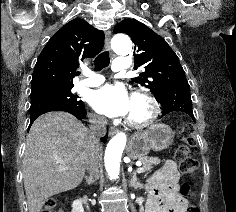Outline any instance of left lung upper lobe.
Segmentation results:
<instances>
[{"label": "left lung upper lobe", "instance_id": "obj_1", "mask_svg": "<svg viewBox=\"0 0 236 212\" xmlns=\"http://www.w3.org/2000/svg\"><path fill=\"white\" fill-rule=\"evenodd\" d=\"M114 33H125L134 42V68L144 67L140 77L131 80L152 90L159 99L172 85L185 81V72L176 53L149 27L134 19H125L114 27Z\"/></svg>", "mask_w": 236, "mask_h": 212}]
</instances>
